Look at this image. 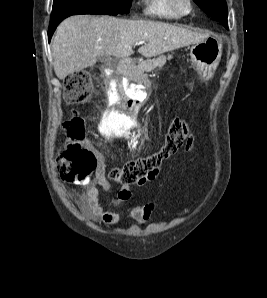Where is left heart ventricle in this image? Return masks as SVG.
Instances as JSON below:
<instances>
[{
    "instance_id": "b2bd125f",
    "label": "left heart ventricle",
    "mask_w": 267,
    "mask_h": 298,
    "mask_svg": "<svg viewBox=\"0 0 267 298\" xmlns=\"http://www.w3.org/2000/svg\"><path fill=\"white\" fill-rule=\"evenodd\" d=\"M177 4L182 11L188 10V3L186 0H177Z\"/></svg>"
}]
</instances>
